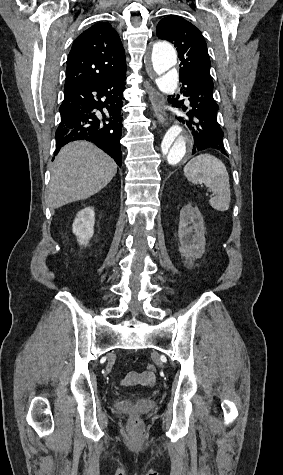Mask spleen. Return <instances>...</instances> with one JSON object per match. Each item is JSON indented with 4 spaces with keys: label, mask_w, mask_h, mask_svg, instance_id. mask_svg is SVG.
I'll return each instance as SVG.
<instances>
[{
    "label": "spleen",
    "mask_w": 283,
    "mask_h": 475,
    "mask_svg": "<svg viewBox=\"0 0 283 475\" xmlns=\"http://www.w3.org/2000/svg\"><path fill=\"white\" fill-rule=\"evenodd\" d=\"M184 176L188 182L204 184L215 194L214 198L209 200L214 210L218 212L229 210L231 200L229 174L221 160L210 154H200L186 164Z\"/></svg>",
    "instance_id": "1"
}]
</instances>
